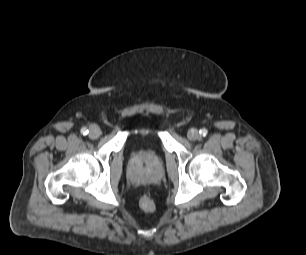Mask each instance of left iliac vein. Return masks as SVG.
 I'll use <instances>...</instances> for the list:
<instances>
[{"label":"left iliac vein","mask_w":306,"mask_h":255,"mask_svg":"<svg viewBox=\"0 0 306 255\" xmlns=\"http://www.w3.org/2000/svg\"><path fill=\"white\" fill-rule=\"evenodd\" d=\"M187 138L190 141H196L199 138V132L196 129H191L187 133Z\"/></svg>","instance_id":"obj_1"}]
</instances>
